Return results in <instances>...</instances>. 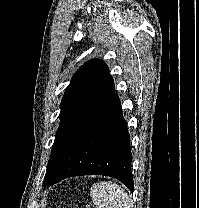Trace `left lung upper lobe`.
Masks as SVG:
<instances>
[{
    "mask_svg": "<svg viewBox=\"0 0 199 208\" xmlns=\"http://www.w3.org/2000/svg\"><path fill=\"white\" fill-rule=\"evenodd\" d=\"M114 94V81L107 65L92 59L82 65L72 77L61 102V123L56 132L44 185L50 178L58 154L77 127Z\"/></svg>",
    "mask_w": 199,
    "mask_h": 208,
    "instance_id": "1",
    "label": "left lung upper lobe"
}]
</instances>
